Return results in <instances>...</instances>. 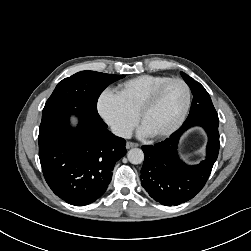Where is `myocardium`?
I'll return each mask as SVG.
<instances>
[{
  "instance_id": "obj_1",
  "label": "myocardium",
  "mask_w": 251,
  "mask_h": 251,
  "mask_svg": "<svg viewBox=\"0 0 251 251\" xmlns=\"http://www.w3.org/2000/svg\"><path fill=\"white\" fill-rule=\"evenodd\" d=\"M176 82L182 84L186 90L185 105H184L182 112L180 113L178 119L174 122V124L172 126H170L168 129H166L162 132L148 135L152 139H162V138L169 137L170 135L175 133L181 127V125L184 123V121L188 115L190 106H191L192 94H191L190 86L187 84V82L185 80H183L181 78H170L169 80L163 82L158 87H156L150 93V95L144 100V102L141 104L140 108L138 109L137 120H138L139 124H141L143 117L156 104V102H157L159 96L161 95V93L163 92V90L168 85H170L172 83H176Z\"/></svg>"
}]
</instances>
